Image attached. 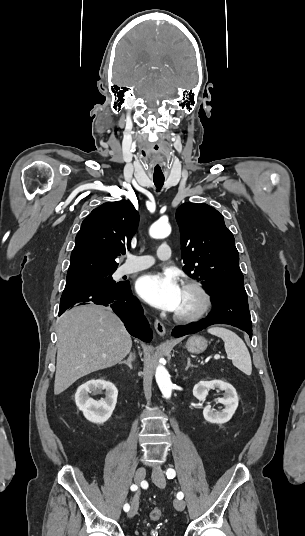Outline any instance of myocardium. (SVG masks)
Returning a JSON list of instances; mask_svg holds the SVG:
<instances>
[{
	"instance_id": "f54148a6",
	"label": "myocardium",
	"mask_w": 305,
	"mask_h": 536,
	"mask_svg": "<svg viewBox=\"0 0 305 536\" xmlns=\"http://www.w3.org/2000/svg\"><path fill=\"white\" fill-rule=\"evenodd\" d=\"M182 288L195 291L201 300V304L198 309L190 312H178L176 311L173 318L178 321H194L207 315L213 307V296L208 287L202 282L190 279L183 283Z\"/></svg>"
}]
</instances>
